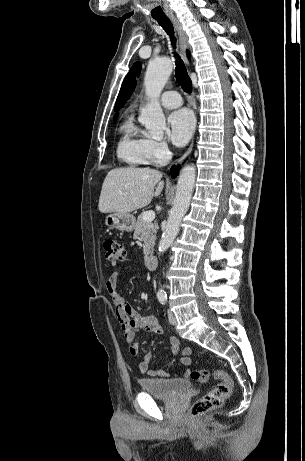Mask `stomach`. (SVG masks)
<instances>
[{
	"instance_id": "0dacf381",
	"label": "stomach",
	"mask_w": 305,
	"mask_h": 461,
	"mask_svg": "<svg viewBox=\"0 0 305 461\" xmlns=\"http://www.w3.org/2000/svg\"><path fill=\"white\" fill-rule=\"evenodd\" d=\"M105 224L110 229H118L122 232H132L135 228V217L129 213L112 212L105 218Z\"/></svg>"
}]
</instances>
